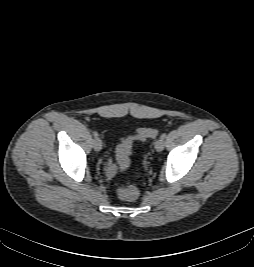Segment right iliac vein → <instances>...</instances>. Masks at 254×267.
<instances>
[{
    "label": "right iliac vein",
    "mask_w": 254,
    "mask_h": 267,
    "mask_svg": "<svg viewBox=\"0 0 254 267\" xmlns=\"http://www.w3.org/2000/svg\"><path fill=\"white\" fill-rule=\"evenodd\" d=\"M93 147H94V150L99 152L101 149H102V141L100 138H96L94 141H93Z\"/></svg>",
    "instance_id": "obj_1"
}]
</instances>
